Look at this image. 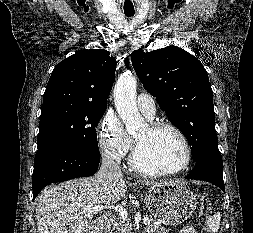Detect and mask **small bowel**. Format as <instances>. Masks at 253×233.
I'll return each instance as SVG.
<instances>
[{
  "instance_id": "obj_1",
  "label": "small bowel",
  "mask_w": 253,
  "mask_h": 233,
  "mask_svg": "<svg viewBox=\"0 0 253 233\" xmlns=\"http://www.w3.org/2000/svg\"><path fill=\"white\" fill-rule=\"evenodd\" d=\"M179 233H196L195 229L191 226H186L180 230Z\"/></svg>"
}]
</instances>
